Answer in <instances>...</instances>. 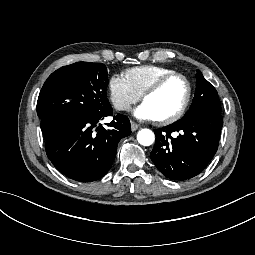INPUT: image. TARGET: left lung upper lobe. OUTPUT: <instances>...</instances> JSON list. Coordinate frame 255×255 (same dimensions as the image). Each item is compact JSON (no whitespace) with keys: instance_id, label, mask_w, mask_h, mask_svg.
Segmentation results:
<instances>
[{"instance_id":"obj_1","label":"left lung upper lobe","mask_w":255,"mask_h":255,"mask_svg":"<svg viewBox=\"0 0 255 255\" xmlns=\"http://www.w3.org/2000/svg\"><path fill=\"white\" fill-rule=\"evenodd\" d=\"M196 80L195 96L186 114L197 109H209L220 113L221 104L216 89L203 77L199 70H197Z\"/></svg>"}]
</instances>
